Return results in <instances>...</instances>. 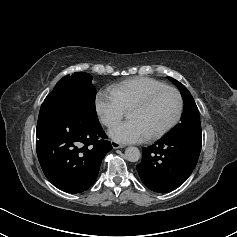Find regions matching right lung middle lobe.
I'll use <instances>...</instances> for the list:
<instances>
[{"instance_id":"obj_1","label":"right lung middle lobe","mask_w":237,"mask_h":237,"mask_svg":"<svg viewBox=\"0 0 237 237\" xmlns=\"http://www.w3.org/2000/svg\"><path fill=\"white\" fill-rule=\"evenodd\" d=\"M96 90L92 76L76 72L63 77L45 98L42 106L60 110L81 122H98L95 110Z\"/></svg>"}]
</instances>
